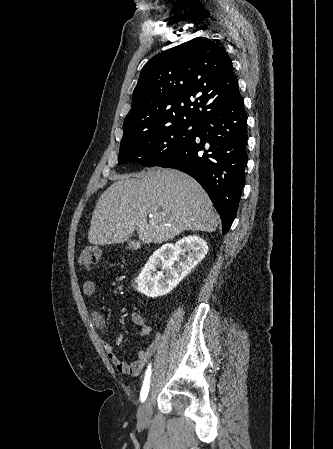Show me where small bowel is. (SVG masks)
<instances>
[{
    "label": "small bowel",
    "instance_id": "obj_1",
    "mask_svg": "<svg viewBox=\"0 0 333 449\" xmlns=\"http://www.w3.org/2000/svg\"><path fill=\"white\" fill-rule=\"evenodd\" d=\"M82 291L87 298L95 297L97 292L96 283L92 280L85 281L82 286ZM91 317L94 324L98 328L103 329L105 327V320L98 311L92 310ZM131 320L136 326L139 327L140 334L142 336H149L152 334V328L147 323L143 314L139 312H134L131 315ZM121 341L122 337L118 336L114 344L109 342H103L102 345L110 362L115 366L118 372L124 375L137 376L142 372L145 364L148 362L151 356L160 347L162 338L160 334H155L153 338L150 340L147 347L143 350H140L138 352L137 359L131 363H126L125 361H123L115 352V346L120 345Z\"/></svg>",
    "mask_w": 333,
    "mask_h": 449
}]
</instances>
